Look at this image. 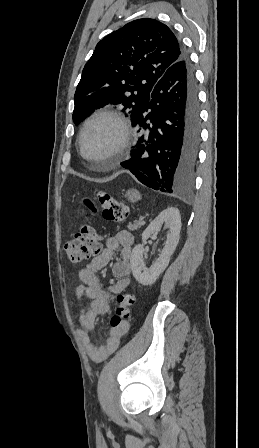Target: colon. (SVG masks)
I'll return each mask as SVG.
<instances>
[{
	"label": "colon",
	"mask_w": 259,
	"mask_h": 448,
	"mask_svg": "<svg viewBox=\"0 0 259 448\" xmlns=\"http://www.w3.org/2000/svg\"><path fill=\"white\" fill-rule=\"evenodd\" d=\"M83 203L92 212L100 213L106 220L112 222L124 221L129 214V208L125 203L101 190L96 191L95 200L86 197ZM65 249L69 261L73 263L82 262L91 255L97 254L100 246L96 230L89 224H84L81 231L66 243ZM134 303L135 297L131 292H122L117 295L116 306L111 316L112 327H119L127 321Z\"/></svg>",
	"instance_id": "5ec220e1"
}]
</instances>
